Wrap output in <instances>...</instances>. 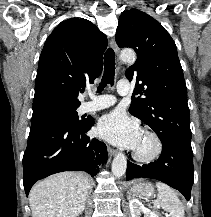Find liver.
<instances>
[{"label":"liver","instance_id":"obj_1","mask_svg":"<svg viewBox=\"0 0 211 217\" xmlns=\"http://www.w3.org/2000/svg\"><path fill=\"white\" fill-rule=\"evenodd\" d=\"M92 188L79 172H62L37 183L29 193L32 217H77Z\"/></svg>","mask_w":211,"mask_h":217}]
</instances>
